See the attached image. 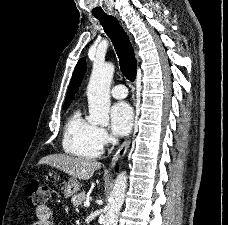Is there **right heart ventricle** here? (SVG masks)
Wrapping results in <instances>:
<instances>
[{"instance_id": "1", "label": "right heart ventricle", "mask_w": 228, "mask_h": 225, "mask_svg": "<svg viewBox=\"0 0 228 225\" xmlns=\"http://www.w3.org/2000/svg\"><path fill=\"white\" fill-rule=\"evenodd\" d=\"M62 149L66 154L81 158H97L102 153L97 126L83 118L80 108H75L65 122Z\"/></svg>"}]
</instances>
